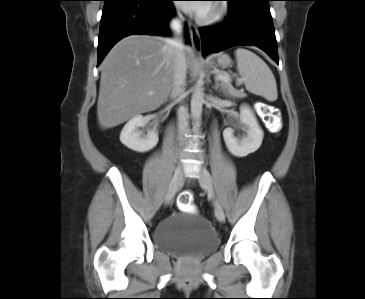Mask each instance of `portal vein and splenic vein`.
Masks as SVG:
<instances>
[{"instance_id": "1", "label": "portal vein and splenic vein", "mask_w": 365, "mask_h": 299, "mask_svg": "<svg viewBox=\"0 0 365 299\" xmlns=\"http://www.w3.org/2000/svg\"><path fill=\"white\" fill-rule=\"evenodd\" d=\"M216 79L223 81V82H229L230 83V76L228 74H218L216 76ZM153 92H149V95H153Z\"/></svg>"}]
</instances>
